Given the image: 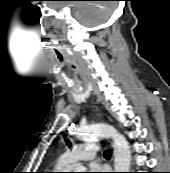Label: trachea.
<instances>
[{"label":"trachea","instance_id":"trachea-1","mask_svg":"<svg viewBox=\"0 0 170 173\" xmlns=\"http://www.w3.org/2000/svg\"><path fill=\"white\" fill-rule=\"evenodd\" d=\"M104 156L105 157H110L111 156V149H107L104 151Z\"/></svg>","mask_w":170,"mask_h":173}]
</instances>
